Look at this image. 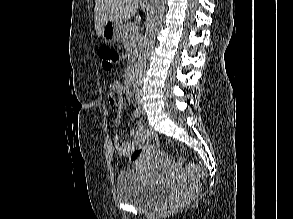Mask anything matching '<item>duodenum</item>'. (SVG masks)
Instances as JSON below:
<instances>
[{"label": "duodenum", "mask_w": 293, "mask_h": 219, "mask_svg": "<svg viewBox=\"0 0 293 219\" xmlns=\"http://www.w3.org/2000/svg\"><path fill=\"white\" fill-rule=\"evenodd\" d=\"M127 78H128V81L131 83V84H135L136 82V70H135V67L134 65H131L128 69V73H127Z\"/></svg>", "instance_id": "obj_1"}]
</instances>
